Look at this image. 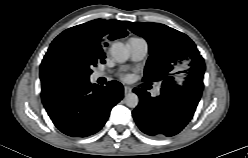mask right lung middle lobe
<instances>
[{"label":"right lung middle lobe","mask_w":248,"mask_h":158,"mask_svg":"<svg viewBox=\"0 0 248 158\" xmlns=\"http://www.w3.org/2000/svg\"><path fill=\"white\" fill-rule=\"evenodd\" d=\"M98 62L104 63L98 57L79 49L77 46L63 43L54 48L49 57V68L52 74L64 81L81 78L89 80L91 68Z\"/></svg>","instance_id":"dd1d6c3e"}]
</instances>
